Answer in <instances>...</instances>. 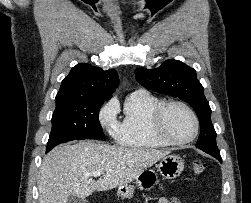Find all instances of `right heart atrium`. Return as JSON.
Masks as SVG:
<instances>
[{"label": "right heart atrium", "mask_w": 251, "mask_h": 203, "mask_svg": "<svg viewBox=\"0 0 251 203\" xmlns=\"http://www.w3.org/2000/svg\"><path fill=\"white\" fill-rule=\"evenodd\" d=\"M117 111V102L114 99H111L100 112V122L102 126L110 133H115L119 128Z\"/></svg>", "instance_id": "right-heart-atrium-1"}]
</instances>
